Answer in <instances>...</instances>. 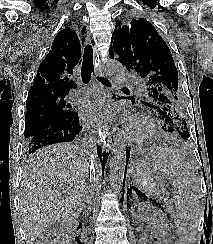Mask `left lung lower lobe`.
<instances>
[{
    "instance_id": "obj_1",
    "label": "left lung lower lobe",
    "mask_w": 213,
    "mask_h": 244,
    "mask_svg": "<svg viewBox=\"0 0 213 244\" xmlns=\"http://www.w3.org/2000/svg\"><path fill=\"white\" fill-rule=\"evenodd\" d=\"M162 128H163L164 131L167 130L166 125L165 126L163 125ZM126 153H127L126 158H127V161H128L129 156H130V148L129 149L126 148ZM126 168H127V164H126ZM125 174H126V169H125ZM124 184H125V176H124ZM123 187H124V185H123Z\"/></svg>"
}]
</instances>
